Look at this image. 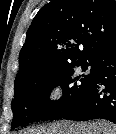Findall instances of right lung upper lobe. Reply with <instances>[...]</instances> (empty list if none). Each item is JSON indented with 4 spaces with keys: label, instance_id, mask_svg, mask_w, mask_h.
<instances>
[{
    "label": "right lung upper lobe",
    "instance_id": "obj_1",
    "mask_svg": "<svg viewBox=\"0 0 116 134\" xmlns=\"http://www.w3.org/2000/svg\"><path fill=\"white\" fill-rule=\"evenodd\" d=\"M115 44L114 0H52L39 10L27 31L14 95L67 66L91 62Z\"/></svg>",
    "mask_w": 116,
    "mask_h": 134
}]
</instances>
